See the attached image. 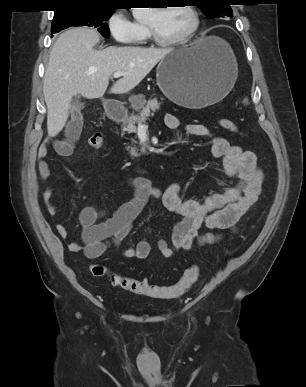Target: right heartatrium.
<instances>
[{"label": "right heart atrium", "mask_w": 306, "mask_h": 387, "mask_svg": "<svg viewBox=\"0 0 306 387\" xmlns=\"http://www.w3.org/2000/svg\"><path fill=\"white\" fill-rule=\"evenodd\" d=\"M112 38L119 44L129 45L140 40L141 29L123 10L113 12L107 20Z\"/></svg>", "instance_id": "right-heart-atrium-1"}]
</instances>
